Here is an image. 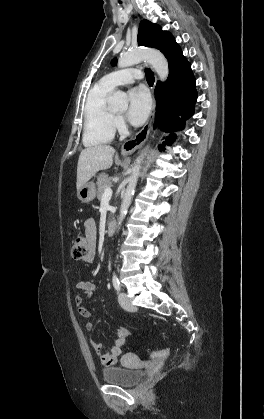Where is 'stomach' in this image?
<instances>
[{
    "label": "stomach",
    "instance_id": "stomach-1",
    "mask_svg": "<svg viewBox=\"0 0 264 419\" xmlns=\"http://www.w3.org/2000/svg\"><path fill=\"white\" fill-rule=\"evenodd\" d=\"M96 196V187L94 182H87L79 190H77V197L83 203L91 202Z\"/></svg>",
    "mask_w": 264,
    "mask_h": 419
}]
</instances>
